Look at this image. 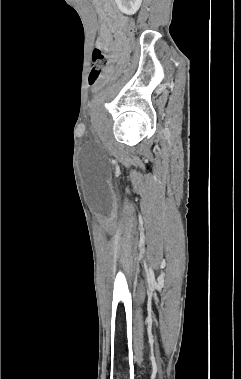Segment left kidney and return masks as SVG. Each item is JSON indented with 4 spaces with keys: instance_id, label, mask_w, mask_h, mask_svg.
<instances>
[{
    "instance_id": "left-kidney-1",
    "label": "left kidney",
    "mask_w": 241,
    "mask_h": 379,
    "mask_svg": "<svg viewBox=\"0 0 241 379\" xmlns=\"http://www.w3.org/2000/svg\"><path fill=\"white\" fill-rule=\"evenodd\" d=\"M115 2L122 13L133 15L140 8L142 0H115Z\"/></svg>"
}]
</instances>
